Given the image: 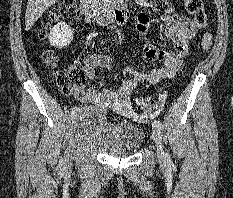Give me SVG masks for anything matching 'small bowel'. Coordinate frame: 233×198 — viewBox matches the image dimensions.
<instances>
[{
  "label": "small bowel",
  "mask_w": 233,
  "mask_h": 198,
  "mask_svg": "<svg viewBox=\"0 0 233 198\" xmlns=\"http://www.w3.org/2000/svg\"><path fill=\"white\" fill-rule=\"evenodd\" d=\"M165 25V36L171 42L173 51L161 50L151 44L147 38L150 25L155 22ZM201 27L193 20L186 17L178 19L173 11L167 10L159 17H153L145 12H140L136 18L135 29L142 38L143 56L149 61H160L161 66L149 73L136 71L130 66H125L120 72V80L116 90L106 87L97 90L95 87H75L73 97L83 103L91 104L104 110L109 106L117 107L118 111L133 119H144L131 110L130 99L140 82L157 84L175 75L188 53V43ZM82 66L89 80H93L97 69L115 70V65L107 56L93 54L87 57Z\"/></svg>",
  "instance_id": "small-bowel-1"
}]
</instances>
